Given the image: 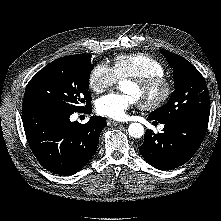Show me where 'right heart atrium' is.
I'll return each mask as SVG.
<instances>
[{
	"label": "right heart atrium",
	"mask_w": 221,
	"mask_h": 221,
	"mask_svg": "<svg viewBox=\"0 0 221 221\" xmlns=\"http://www.w3.org/2000/svg\"><path fill=\"white\" fill-rule=\"evenodd\" d=\"M117 81L113 68L102 62L94 65L89 74V86L95 93L110 89Z\"/></svg>",
	"instance_id": "1"
}]
</instances>
